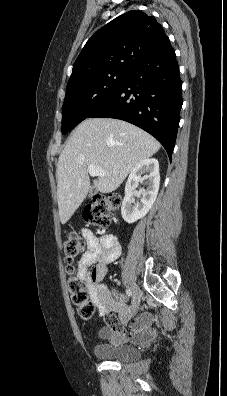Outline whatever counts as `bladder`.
I'll return each instance as SVG.
<instances>
[{
  "instance_id": "1",
  "label": "bladder",
  "mask_w": 227,
  "mask_h": 396,
  "mask_svg": "<svg viewBox=\"0 0 227 396\" xmlns=\"http://www.w3.org/2000/svg\"><path fill=\"white\" fill-rule=\"evenodd\" d=\"M92 351L99 359L117 362L134 361L140 355L136 348L129 345L96 344Z\"/></svg>"
}]
</instances>
